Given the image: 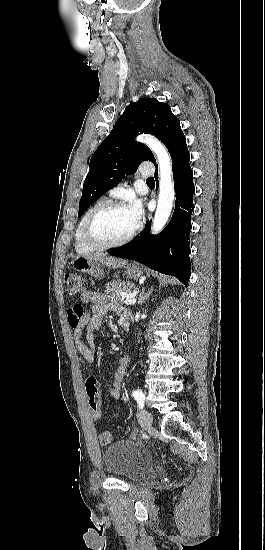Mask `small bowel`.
<instances>
[{"label": "small bowel", "instance_id": "c3829d8e", "mask_svg": "<svg viewBox=\"0 0 265 550\" xmlns=\"http://www.w3.org/2000/svg\"><path fill=\"white\" fill-rule=\"evenodd\" d=\"M83 303H91L92 310L90 313H85L82 306H74L69 314L71 318L77 321V324L72 326L73 339L77 351L82 355L86 363H92L95 360L98 344L97 333L102 323V320L109 311H113L119 317L120 325L124 329L129 327V313L126 308L111 303L104 294L87 291L82 297ZM84 327H87V340L88 344L82 341V334ZM129 365V358L127 356L122 357L113 376L112 385L108 388V392L111 397L119 398L121 394L122 383ZM113 418H119L117 413L111 414ZM95 419V418H94ZM100 419V418H99ZM95 419V420H99Z\"/></svg>", "mask_w": 265, "mask_h": 550}]
</instances>
